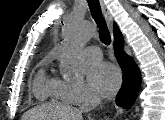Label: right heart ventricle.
I'll use <instances>...</instances> for the list:
<instances>
[{"instance_id":"obj_1","label":"right heart ventricle","mask_w":165,"mask_h":120,"mask_svg":"<svg viewBox=\"0 0 165 120\" xmlns=\"http://www.w3.org/2000/svg\"><path fill=\"white\" fill-rule=\"evenodd\" d=\"M46 62H48V59ZM33 89L35 95L41 100L54 99L66 101L60 91L58 79L48 76L44 66L39 70L34 80Z\"/></svg>"}]
</instances>
